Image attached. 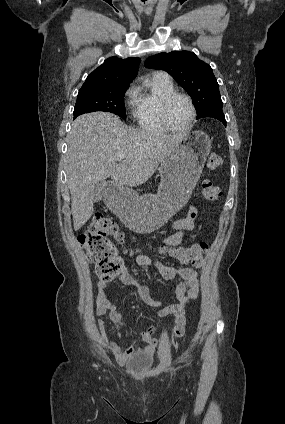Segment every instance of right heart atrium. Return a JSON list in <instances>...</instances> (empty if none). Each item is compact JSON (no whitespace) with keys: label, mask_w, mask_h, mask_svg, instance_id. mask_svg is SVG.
I'll list each match as a JSON object with an SVG mask.
<instances>
[{"label":"right heart atrium","mask_w":285,"mask_h":424,"mask_svg":"<svg viewBox=\"0 0 285 424\" xmlns=\"http://www.w3.org/2000/svg\"><path fill=\"white\" fill-rule=\"evenodd\" d=\"M126 96L129 98V105H134V99H135V88L133 86L129 87L126 91Z\"/></svg>","instance_id":"1"}]
</instances>
